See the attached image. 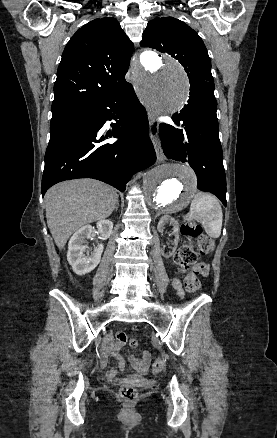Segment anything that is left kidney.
<instances>
[{"instance_id":"obj_1","label":"left kidney","mask_w":277,"mask_h":438,"mask_svg":"<svg viewBox=\"0 0 277 438\" xmlns=\"http://www.w3.org/2000/svg\"><path fill=\"white\" fill-rule=\"evenodd\" d=\"M166 222H170V224H173L174 226L173 234L175 236V240H174L173 252H175L179 242V224L177 220H175V218H171V216H168V214H166V216H162V218H160L158 222V226H157L158 232H163L164 230L163 226L164 224H166ZM162 256H164V258H170L172 254H170V256H165V254H162Z\"/></svg>"}]
</instances>
